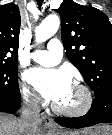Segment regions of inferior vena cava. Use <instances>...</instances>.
Instances as JSON below:
<instances>
[{
	"label": "inferior vena cava",
	"mask_w": 112,
	"mask_h": 135,
	"mask_svg": "<svg viewBox=\"0 0 112 135\" xmlns=\"http://www.w3.org/2000/svg\"><path fill=\"white\" fill-rule=\"evenodd\" d=\"M40 106L37 98L26 99L22 108L19 125L23 135H35L40 121Z\"/></svg>",
	"instance_id": "inferior-vena-cava-1"
}]
</instances>
